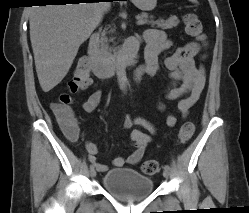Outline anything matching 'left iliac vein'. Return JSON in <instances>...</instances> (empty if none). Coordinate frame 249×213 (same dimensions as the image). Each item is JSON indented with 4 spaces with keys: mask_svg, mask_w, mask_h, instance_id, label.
<instances>
[{
    "mask_svg": "<svg viewBox=\"0 0 249 213\" xmlns=\"http://www.w3.org/2000/svg\"><path fill=\"white\" fill-rule=\"evenodd\" d=\"M163 176H164L165 178H168V177H169V171L164 170V171H163Z\"/></svg>",
    "mask_w": 249,
    "mask_h": 213,
    "instance_id": "left-iliac-vein-1",
    "label": "left iliac vein"
}]
</instances>
